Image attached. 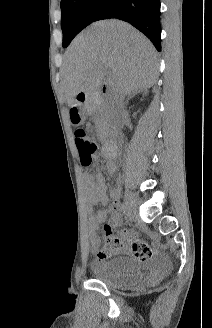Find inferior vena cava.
Segmentation results:
<instances>
[{
	"mask_svg": "<svg viewBox=\"0 0 212 328\" xmlns=\"http://www.w3.org/2000/svg\"><path fill=\"white\" fill-rule=\"evenodd\" d=\"M116 108H115V113L118 118H121L125 114V109H124V95L122 93H116Z\"/></svg>",
	"mask_w": 212,
	"mask_h": 328,
	"instance_id": "1",
	"label": "inferior vena cava"
}]
</instances>
